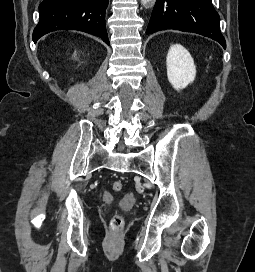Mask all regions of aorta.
Listing matches in <instances>:
<instances>
[{"label":"aorta","instance_id":"aorta-1","mask_svg":"<svg viewBox=\"0 0 255 272\" xmlns=\"http://www.w3.org/2000/svg\"><path fill=\"white\" fill-rule=\"evenodd\" d=\"M155 0H141V3L143 4V5H145V4H149V3H152V2H154Z\"/></svg>","mask_w":255,"mask_h":272}]
</instances>
